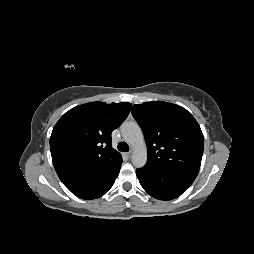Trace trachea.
Instances as JSON below:
<instances>
[{"instance_id": "trachea-1", "label": "trachea", "mask_w": 254, "mask_h": 254, "mask_svg": "<svg viewBox=\"0 0 254 254\" xmlns=\"http://www.w3.org/2000/svg\"><path fill=\"white\" fill-rule=\"evenodd\" d=\"M118 150H119V151H122V152H128V151H129V146H128V144L125 143V142H120V143L118 144Z\"/></svg>"}]
</instances>
